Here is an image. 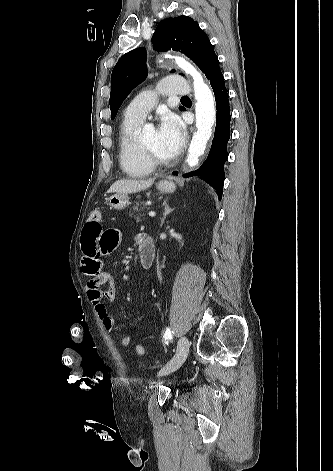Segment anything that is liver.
I'll list each match as a JSON object with an SVG mask.
<instances>
[{"mask_svg": "<svg viewBox=\"0 0 333 471\" xmlns=\"http://www.w3.org/2000/svg\"><path fill=\"white\" fill-rule=\"evenodd\" d=\"M155 179L131 180L121 179L116 181L108 190L110 193H136L152 186Z\"/></svg>", "mask_w": 333, "mask_h": 471, "instance_id": "6515ba94", "label": "liver"}]
</instances>
